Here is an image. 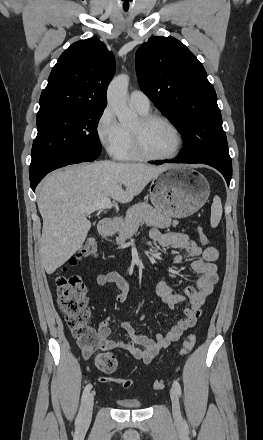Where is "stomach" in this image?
<instances>
[{"mask_svg": "<svg viewBox=\"0 0 263 440\" xmlns=\"http://www.w3.org/2000/svg\"><path fill=\"white\" fill-rule=\"evenodd\" d=\"M209 194V183L202 174L189 167L173 166L154 179L150 200L164 215L186 218L205 204Z\"/></svg>", "mask_w": 263, "mask_h": 440, "instance_id": "0dacf381", "label": "stomach"}]
</instances>
